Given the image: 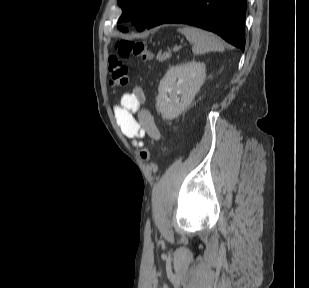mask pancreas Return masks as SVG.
<instances>
[{"instance_id":"pancreas-1","label":"pancreas","mask_w":309,"mask_h":288,"mask_svg":"<svg viewBox=\"0 0 309 288\" xmlns=\"http://www.w3.org/2000/svg\"><path fill=\"white\" fill-rule=\"evenodd\" d=\"M170 54L169 53H158L156 59L159 61V62H162V61H165L167 59L170 58Z\"/></svg>"}]
</instances>
